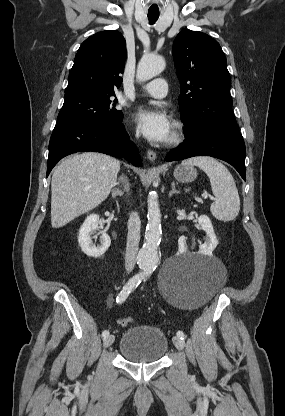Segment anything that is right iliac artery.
I'll list each match as a JSON object with an SVG mask.
<instances>
[{
	"label": "right iliac artery",
	"mask_w": 285,
	"mask_h": 416,
	"mask_svg": "<svg viewBox=\"0 0 285 416\" xmlns=\"http://www.w3.org/2000/svg\"><path fill=\"white\" fill-rule=\"evenodd\" d=\"M143 279V274L142 273H138L136 275H134L131 279H129V281L123 286V289L120 291V293L118 294L117 298H116V302L117 303H123L128 295L137 288V286L141 283ZM109 335V331L108 330H104L102 332V337H106Z\"/></svg>",
	"instance_id": "obj_1"
}]
</instances>
